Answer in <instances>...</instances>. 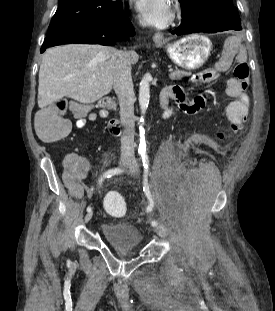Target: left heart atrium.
Wrapping results in <instances>:
<instances>
[{
	"label": "left heart atrium",
	"instance_id": "left-heart-atrium-1",
	"mask_svg": "<svg viewBox=\"0 0 275 311\" xmlns=\"http://www.w3.org/2000/svg\"><path fill=\"white\" fill-rule=\"evenodd\" d=\"M135 8L151 26L165 27L173 16L170 0H135Z\"/></svg>",
	"mask_w": 275,
	"mask_h": 311
}]
</instances>
